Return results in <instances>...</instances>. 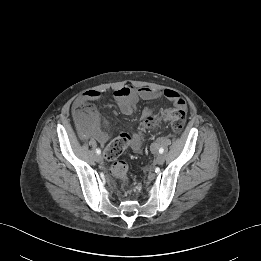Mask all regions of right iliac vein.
I'll list each match as a JSON object with an SVG mask.
<instances>
[{"label": "right iliac vein", "mask_w": 261, "mask_h": 261, "mask_svg": "<svg viewBox=\"0 0 261 261\" xmlns=\"http://www.w3.org/2000/svg\"><path fill=\"white\" fill-rule=\"evenodd\" d=\"M95 160H96L97 162H100V161L102 160V156H101L100 154L96 155V156H95Z\"/></svg>", "instance_id": "obj_1"}]
</instances>
